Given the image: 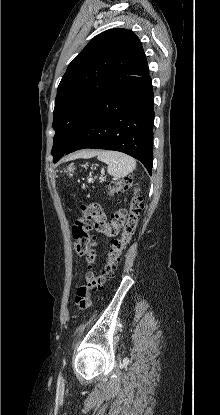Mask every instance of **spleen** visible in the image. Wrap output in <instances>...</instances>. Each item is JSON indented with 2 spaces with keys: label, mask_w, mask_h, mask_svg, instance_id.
<instances>
[{
  "label": "spleen",
  "mask_w": 220,
  "mask_h": 415,
  "mask_svg": "<svg viewBox=\"0 0 220 415\" xmlns=\"http://www.w3.org/2000/svg\"><path fill=\"white\" fill-rule=\"evenodd\" d=\"M96 155L98 160L108 165L107 172L115 178L127 176L136 167L135 159L124 153L117 151H98Z\"/></svg>",
  "instance_id": "3e777b00"
}]
</instances>
